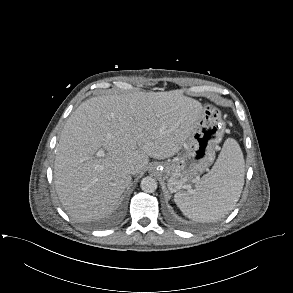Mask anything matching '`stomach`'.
I'll return each instance as SVG.
<instances>
[{"instance_id":"1","label":"stomach","mask_w":293,"mask_h":293,"mask_svg":"<svg viewBox=\"0 0 293 293\" xmlns=\"http://www.w3.org/2000/svg\"><path fill=\"white\" fill-rule=\"evenodd\" d=\"M224 130L220 110L212 104H205L194 130L176 156L158 165L165 173L170 192H179L190 183L199 181L200 175L214 161Z\"/></svg>"}]
</instances>
